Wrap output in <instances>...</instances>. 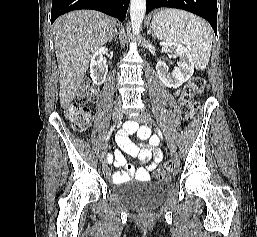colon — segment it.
Masks as SVG:
<instances>
[{"label": "colon", "instance_id": "colon-1", "mask_svg": "<svg viewBox=\"0 0 257 237\" xmlns=\"http://www.w3.org/2000/svg\"><path fill=\"white\" fill-rule=\"evenodd\" d=\"M205 84V78L202 76H195L186 84L180 98V114L183 119L190 120L195 115L197 105L194 97L203 92ZM95 96L96 92L93 86L85 83L81 86L75 101L67 108L66 115L75 130L80 131L89 123V113L85 104L93 100ZM174 168V162L169 161L156 170L153 177L156 180H166L171 177Z\"/></svg>", "mask_w": 257, "mask_h": 237}]
</instances>
